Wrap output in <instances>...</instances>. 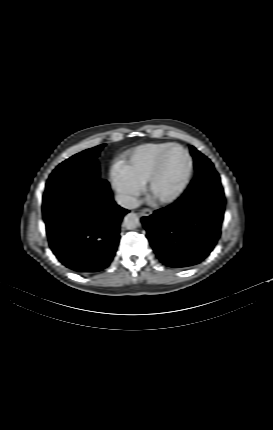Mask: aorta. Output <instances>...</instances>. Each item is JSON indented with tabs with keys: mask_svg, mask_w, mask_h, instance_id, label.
I'll return each mask as SVG.
<instances>
[{
	"mask_svg": "<svg viewBox=\"0 0 273 430\" xmlns=\"http://www.w3.org/2000/svg\"><path fill=\"white\" fill-rule=\"evenodd\" d=\"M123 224L126 229L134 230L140 226V220L136 213H129L124 217Z\"/></svg>",
	"mask_w": 273,
	"mask_h": 430,
	"instance_id": "762f6f07",
	"label": "aorta"
}]
</instances>
